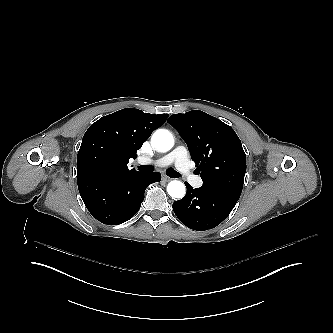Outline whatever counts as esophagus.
Segmentation results:
<instances>
[{"mask_svg":"<svg viewBox=\"0 0 333 333\" xmlns=\"http://www.w3.org/2000/svg\"><path fill=\"white\" fill-rule=\"evenodd\" d=\"M162 179H163V181H165V182H169V181L171 180V178H169V177L166 176V175H162Z\"/></svg>","mask_w":333,"mask_h":333,"instance_id":"1","label":"esophagus"}]
</instances>
